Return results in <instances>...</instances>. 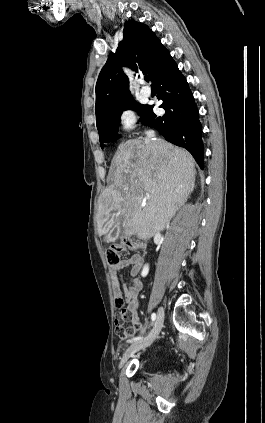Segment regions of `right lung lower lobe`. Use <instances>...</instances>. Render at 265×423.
Instances as JSON below:
<instances>
[{
	"instance_id": "obj_1",
	"label": "right lung lower lobe",
	"mask_w": 265,
	"mask_h": 423,
	"mask_svg": "<svg viewBox=\"0 0 265 423\" xmlns=\"http://www.w3.org/2000/svg\"><path fill=\"white\" fill-rule=\"evenodd\" d=\"M153 83L158 89V99L163 100L160 107L166 113L156 116L152 111L153 106H148L143 124L155 128L167 141L187 149L203 168L201 124L185 77L172 60L157 74Z\"/></svg>"
}]
</instances>
